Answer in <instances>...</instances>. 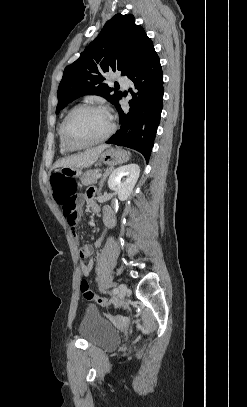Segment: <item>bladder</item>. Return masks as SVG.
<instances>
[{
  "label": "bladder",
  "mask_w": 247,
  "mask_h": 407,
  "mask_svg": "<svg viewBox=\"0 0 247 407\" xmlns=\"http://www.w3.org/2000/svg\"><path fill=\"white\" fill-rule=\"evenodd\" d=\"M79 333L88 344L105 350L116 348L121 341L119 332L98 315V309L93 305L88 307Z\"/></svg>",
  "instance_id": "31cf9c89"
}]
</instances>
